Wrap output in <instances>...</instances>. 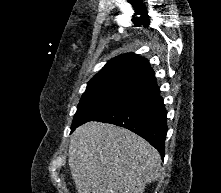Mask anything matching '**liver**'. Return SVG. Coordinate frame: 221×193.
<instances>
[{
    "label": "liver",
    "mask_w": 221,
    "mask_h": 193,
    "mask_svg": "<svg viewBox=\"0 0 221 193\" xmlns=\"http://www.w3.org/2000/svg\"><path fill=\"white\" fill-rule=\"evenodd\" d=\"M68 157L78 193H143L160 176L159 152L134 132L112 124L79 126Z\"/></svg>",
    "instance_id": "6515ba94"
}]
</instances>
